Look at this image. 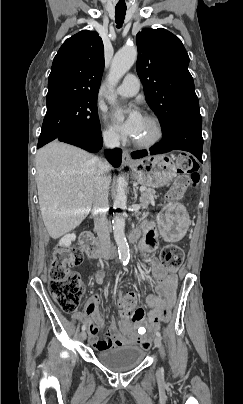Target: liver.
<instances>
[{"instance_id":"1","label":"liver","mask_w":243,"mask_h":404,"mask_svg":"<svg viewBox=\"0 0 243 404\" xmlns=\"http://www.w3.org/2000/svg\"><path fill=\"white\" fill-rule=\"evenodd\" d=\"M99 158L62 142H51L36 154V184L44 226L57 240L88 216ZM83 194V196H78Z\"/></svg>"}]
</instances>
